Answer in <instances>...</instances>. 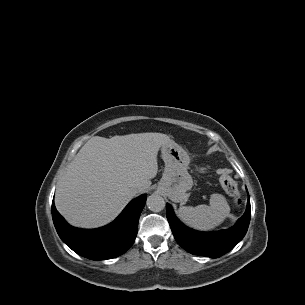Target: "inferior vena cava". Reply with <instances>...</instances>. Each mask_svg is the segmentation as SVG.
<instances>
[{"label": "inferior vena cava", "mask_w": 305, "mask_h": 305, "mask_svg": "<svg viewBox=\"0 0 305 305\" xmlns=\"http://www.w3.org/2000/svg\"><path fill=\"white\" fill-rule=\"evenodd\" d=\"M134 188L138 189V188H139V185L135 184V185H134Z\"/></svg>", "instance_id": "1"}]
</instances>
